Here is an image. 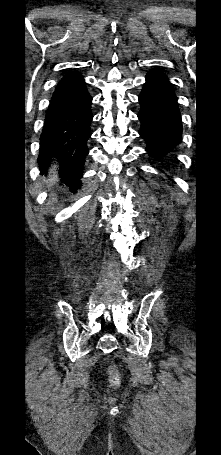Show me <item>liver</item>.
Returning <instances> with one entry per match:
<instances>
[{"label":"liver","mask_w":221,"mask_h":455,"mask_svg":"<svg viewBox=\"0 0 221 455\" xmlns=\"http://www.w3.org/2000/svg\"><path fill=\"white\" fill-rule=\"evenodd\" d=\"M56 168L57 166L54 165L51 169H50V174H49V177L48 179H45V183L48 187L52 186L55 181H56V175H55V171H56Z\"/></svg>","instance_id":"liver-1"}]
</instances>
